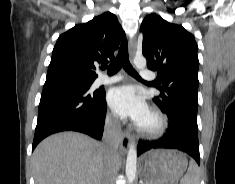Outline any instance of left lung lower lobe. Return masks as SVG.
I'll return each instance as SVG.
<instances>
[{"instance_id": "1", "label": "left lung lower lobe", "mask_w": 235, "mask_h": 184, "mask_svg": "<svg viewBox=\"0 0 235 184\" xmlns=\"http://www.w3.org/2000/svg\"><path fill=\"white\" fill-rule=\"evenodd\" d=\"M169 118V128L164 137L155 142L139 141L137 154L156 149L168 148L184 151L200 164L197 115L184 109L164 111Z\"/></svg>"}]
</instances>
